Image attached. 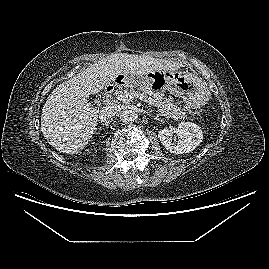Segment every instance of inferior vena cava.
I'll list each match as a JSON object with an SVG mask.
<instances>
[{
	"label": "inferior vena cava",
	"mask_w": 269,
	"mask_h": 269,
	"mask_svg": "<svg viewBox=\"0 0 269 269\" xmlns=\"http://www.w3.org/2000/svg\"><path fill=\"white\" fill-rule=\"evenodd\" d=\"M120 110H121V108L117 104L109 105V106L105 107V109H103L100 112V118L102 121L109 123V120L111 118H114L115 116H119Z\"/></svg>",
	"instance_id": "inferior-vena-cava-1"
}]
</instances>
